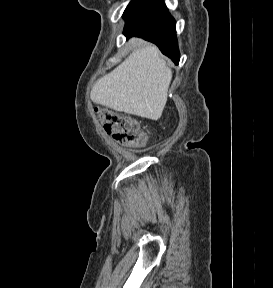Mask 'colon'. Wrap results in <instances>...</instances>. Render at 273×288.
<instances>
[{
    "label": "colon",
    "mask_w": 273,
    "mask_h": 288,
    "mask_svg": "<svg viewBox=\"0 0 273 288\" xmlns=\"http://www.w3.org/2000/svg\"><path fill=\"white\" fill-rule=\"evenodd\" d=\"M96 115L105 131L119 145L140 147L146 143V134L133 117L107 108H97Z\"/></svg>",
    "instance_id": "colon-1"
}]
</instances>
